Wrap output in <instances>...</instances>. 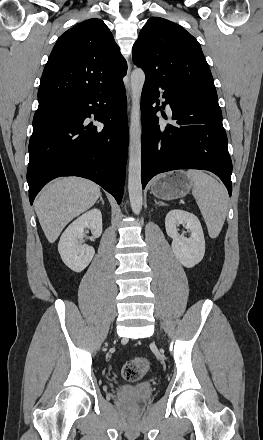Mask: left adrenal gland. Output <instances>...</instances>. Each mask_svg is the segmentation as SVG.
Listing matches in <instances>:
<instances>
[{"label": "left adrenal gland", "mask_w": 263, "mask_h": 440, "mask_svg": "<svg viewBox=\"0 0 263 440\" xmlns=\"http://www.w3.org/2000/svg\"><path fill=\"white\" fill-rule=\"evenodd\" d=\"M155 203H156L157 205H159V206H163V205H165L164 203H162V202H157L156 200H155Z\"/></svg>", "instance_id": "1"}]
</instances>
